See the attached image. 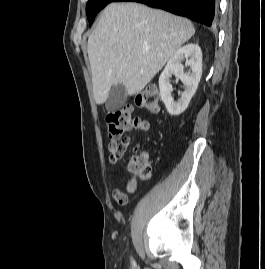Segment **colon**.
I'll use <instances>...</instances> for the list:
<instances>
[{
    "mask_svg": "<svg viewBox=\"0 0 265 269\" xmlns=\"http://www.w3.org/2000/svg\"><path fill=\"white\" fill-rule=\"evenodd\" d=\"M138 107L156 113L159 110V92L150 86L137 95ZM107 136L110 140L126 141V135L134 130H142L145 120L133 115L132 106H124L111 111L106 116ZM130 182L146 181L151 177V166L145 153L137 151L128 165Z\"/></svg>",
    "mask_w": 265,
    "mask_h": 269,
    "instance_id": "1",
    "label": "colon"
}]
</instances>
